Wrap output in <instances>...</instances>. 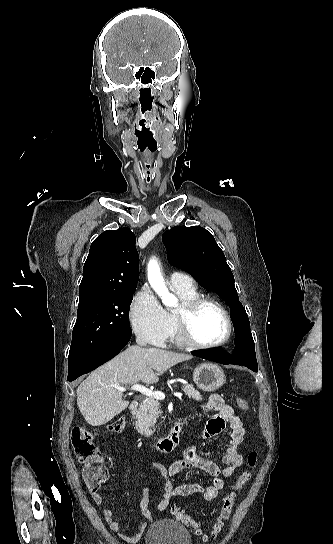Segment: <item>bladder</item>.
Returning a JSON list of instances; mask_svg holds the SVG:
<instances>
[{"instance_id": "bladder-1", "label": "bladder", "mask_w": 333, "mask_h": 544, "mask_svg": "<svg viewBox=\"0 0 333 544\" xmlns=\"http://www.w3.org/2000/svg\"><path fill=\"white\" fill-rule=\"evenodd\" d=\"M144 544H192V540L189 531L181 523L160 519L146 531Z\"/></svg>"}]
</instances>
